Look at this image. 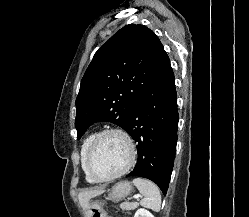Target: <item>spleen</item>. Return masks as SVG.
Segmentation results:
<instances>
[{"label": "spleen", "mask_w": 249, "mask_h": 217, "mask_svg": "<svg viewBox=\"0 0 249 217\" xmlns=\"http://www.w3.org/2000/svg\"><path fill=\"white\" fill-rule=\"evenodd\" d=\"M133 183L144 196L140 204L158 212L161 208V194L158 186L150 180L139 177L135 178Z\"/></svg>", "instance_id": "obj_1"}]
</instances>
